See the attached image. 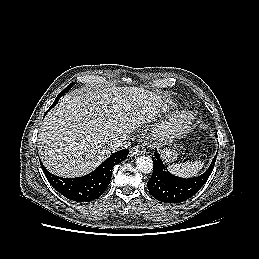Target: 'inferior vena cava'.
Returning <instances> with one entry per match:
<instances>
[{
    "label": "inferior vena cava",
    "mask_w": 259,
    "mask_h": 259,
    "mask_svg": "<svg viewBox=\"0 0 259 259\" xmlns=\"http://www.w3.org/2000/svg\"><path fill=\"white\" fill-rule=\"evenodd\" d=\"M130 144H131L130 139L128 137H123L115 141L113 146H114V149H118V148L126 149L130 146Z\"/></svg>",
    "instance_id": "obj_1"
}]
</instances>
